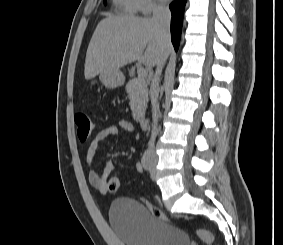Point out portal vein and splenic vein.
I'll return each instance as SVG.
<instances>
[{"label":"portal vein and splenic vein","mask_w":283,"mask_h":245,"mask_svg":"<svg viewBox=\"0 0 283 245\" xmlns=\"http://www.w3.org/2000/svg\"><path fill=\"white\" fill-rule=\"evenodd\" d=\"M137 74L139 78H144L147 76V70L144 67H138Z\"/></svg>","instance_id":"obj_1"}]
</instances>
